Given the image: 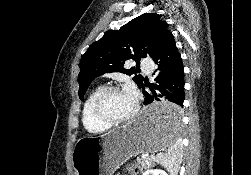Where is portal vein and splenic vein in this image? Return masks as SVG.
<instances>
[{
	"mask_svg": "<svg viewBox=\"0 0 251 175\" xmlns=\"http://www.w3.org/2000/svg\"><path fill=\"white\" fill-rule=\"evenodd\" d=\"M141 157H142V158H147V157H148V154H147V153H142V154H141Z\"/></svg>",
	"mask_w": 251,
	"mask_h": 175,
	"instance_id": "1",
	"label": "portal vein and splenic vein"
}]
</instances>
